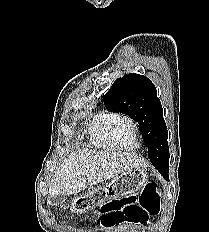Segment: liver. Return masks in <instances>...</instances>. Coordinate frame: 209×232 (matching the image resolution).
<instances>
[{"mask_svg":"<svg viewBox=\"0 0 209 232\" xmlns=\"http://www.w3.org/2000/svg\"><path fill=\"white\" fill-rule=\"evenodd\" d=\"M145 166L146 163L133 153L84 149L70 155L59 166L49 186V197L76 194L87 185Z\"/></svg>","mask_w":209,"mask_h":232,"instance_id":"liver-1","label":"liver"}]
</instances>
